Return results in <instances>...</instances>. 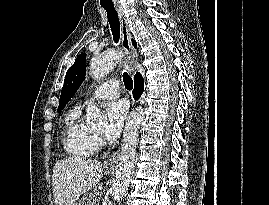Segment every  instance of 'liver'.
I'll use <instances>...</instances> for the list:
<instances>
[{
    "mask_svg": "<svg viewBox=\"0 0 269 205\" xmlns=\"http://www.w3.org/2000/svg\"><path fill=\"white\" fill-rule=\"evenodd\" d=\"M103 165L96 160L70 157L55 163L52 185L55 205H75L80 195L97 185Z\"/></svg>",
    "mask_w": 269,
    "mask_h": 205,
    "instance_id": "1",
    "label": "liver"
}]
</instances>
